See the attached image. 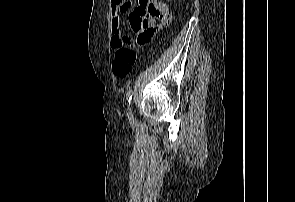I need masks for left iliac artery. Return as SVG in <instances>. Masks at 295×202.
<instances>
[{
  "mask_svg": "<svg viewBox=\"0 0 295 202\" xmlns=\"http://www.w3.org/2000/svg\"><path fill=\"white\" fill-rule=\"evenodd\" d=\"M132 96H133V91L132 90H129L127 92V95H126V100H127V102H128L129 105H130V102L132 100Z\"/></svg>",
  "mask_w": 295,
  "mask_h": 202,
  "instance_id": "obj_1",
  "label": "left iliac artery"
}]
</instances>
